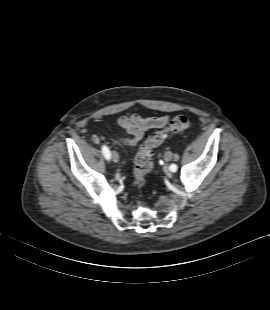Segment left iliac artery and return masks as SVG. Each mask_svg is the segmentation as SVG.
Here are the masks:
<instances>
[{
	"instance_id": "44dca946",
	"label": "left iliac artery",
	"mask_w": 270,
	"mask_h": 310,
	"mask_svg": "<svg viewBox=\"0 0 270 310\" xmlns=\"http://www.w3.org/2000/svg\"><path fill=\"white\" fill-rule=\"evenodd\" d=\"M170 170H171L172 172H175V171L177 170V165H176V164H171V165H170Z\"/></svg>"
}]
</instances>
